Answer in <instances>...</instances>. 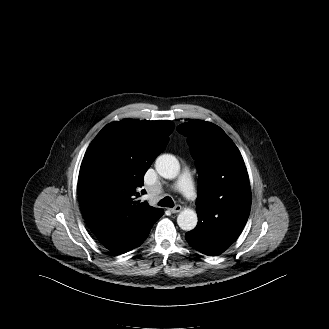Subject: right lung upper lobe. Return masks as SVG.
<instances>
[{
  "mask_svg": "<svg viewBox=\"0 0 329 329\" xmlns=\"http://www.w3.org/2000/svg\"><path fill=\"white\" fill-rule=\"evenodd\" d=\"M173 129L167 120L126 119L106 125L92 141L80 167L78 195L95 236L113 226L145 222L162 210L134 197Z\"/></svg>",
  "mask_w": 329,
  "mask_h": 329,
  "instance_id": "right-lung-upper-lobe-1",
  "label": "right lung upper lobe"
}]
</instances>
